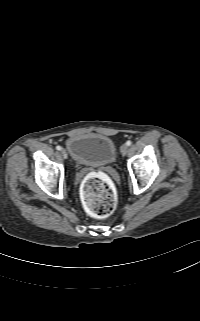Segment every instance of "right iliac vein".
<instances>
[{
  "label": "right iliac vein",
  "mask_w": 200,
  "mask_h": 321,
  "mask_svg": "<svg viewBox=\"0 0 200 321\" xmlns=\"http://www.w3.org/2000/svg\"><path fill=\"white\" fill-rule=\"evenodd\" d=\"M61 154H62L63 158H67V153L64 149H61Z\"/></svg>",
  "instance_id": "1"
}]
</instances>
